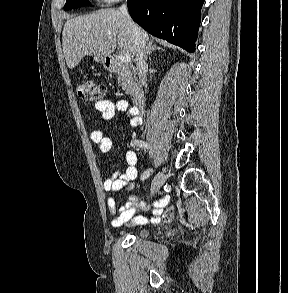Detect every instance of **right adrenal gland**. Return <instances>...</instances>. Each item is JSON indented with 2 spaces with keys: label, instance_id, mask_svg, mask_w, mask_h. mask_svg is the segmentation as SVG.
<instances>
[{
  "label": "right adrenal gland",
  "instance_id": "2a0ac1e0",
  "mask_svg": "<svg viewBox=\"0 0 288 293\" xmlns=\"http://www.w3.org/2000/svg\"><path fill=\"white\" fill-rule=\"evenodd\" d=\"M161 47L156 46V44H153L152 41H149L145 47V59H148V56L156 50H161Z\"/></svg>",
  "mask_w": 288,
  "mask_h": 293
}]
</instances>
